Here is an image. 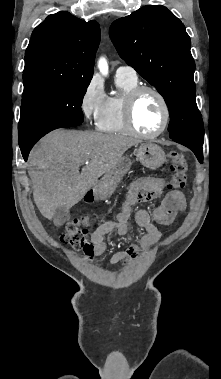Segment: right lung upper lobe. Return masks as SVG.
<instances>
[{
  "instance_id": "right-lung-upper-lobe-1",
  "label": "right lung upper lobe",
  "mask_w": 221,
  "mask_h": 379,
  "mask_svg": "<svg viewBox=\"0 0 221 379\" xmlns=\"http://www.w3.org/2000/svg\"><path fill=\"white\" fill-rule=\"evenodd\" d=\"M100 42L96 21L85 22L61 11L38 25L25 52L24 91L92 79Z\"/></svg>"
}]
</instances>
